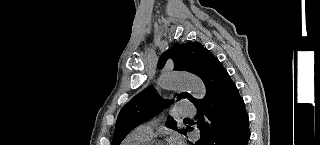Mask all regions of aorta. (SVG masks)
Instances as JSON below:
<instances>
[{
	"label": "aorta",
	"mask_w": 320,
	"mask_h": 145,
	"mask_svg": "<svg viewBox=\"0 0 320 145\" xmlns=\"http://www.w3.org/2000/svg\"><path fill=\"white\" fill-rule=\"evenodd\" d=\"M158 84L165 90L185 89L197 99L203 98L206 93L203 81L199 77L186 73L164 72L159 77Z\"/></svg>",
	"instance_id": "762f6f07"
}]
</instances>
